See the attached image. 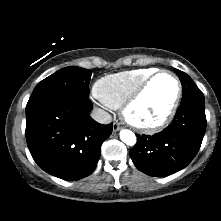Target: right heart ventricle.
Masks as SVG:
<instances>
[{"label":"right heart ventricle","mask_w":221,"mask_h":221,"mask_svg":"<svg viewBox=\"0 0 221 221\" xmlns=\"http://www.w3.org/2000/svg\"><path fill=\"white\" fill-rule=\"evenodd\" d=\"M155 68H137L106 75L94 84L95 96L110 108H120L129 95Z\"/></svg>","instance_id":"right-heart-ventricle-1"}]
</instances>
